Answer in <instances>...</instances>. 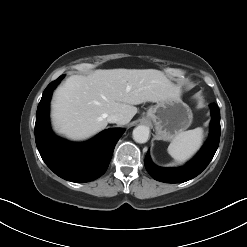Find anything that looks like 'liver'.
Returning <instances> with one entry per match:
<instances>
[{"label": "liver", "instance_id": "obj_1", "mask_svg": "<svg viewBox=\"0 0 247 247\" xmlns=\"http://www.w3.org/2000/svg\"><path fill=\"white\" fill-rule=\"evenodd\" d=\"M180 88L155 69L96 70L88 76L72 75L54 95V129L72 140H84L103 130L107 117L121 113L126 123L138 105L178 96Z\"/></svg>", "mask_w": 247, "mask_h": 247}]
</instances>
